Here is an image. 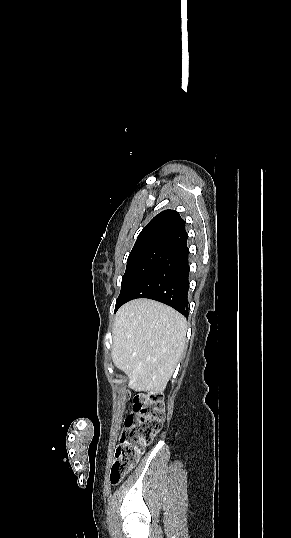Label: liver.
<instances>
[{"label": "liver", "instance_id": "liver-1", "mask_svg": "<svg viewBox=\"0 0 291 538\" xmlns=\"http://www.w3.org/2000/svg\"><path fill=\"white\" fill-rule=\"evenodd\" d=\"M186 319L149 299L127 302L113 326L112 359L136 391H164L185 348Z\"/></svg>", "mask_w": 291, "mask_h": 538}]
</instances>
